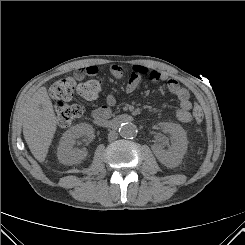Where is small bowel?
<instances>
[{"mask_svg":"<svg viewBox=\"0 0 245 245\" xmlns=\"http://www.w3.org/2000/svg\"><path fill=\"white\" fill-rule=\"evenodd\" d=\"M109 73L116 79H121L125 75V69L117 64H111L108 68ZM99 68L96 65H89L84 68H79L75 71V78L82 80L86 76H94L98 73ZM148 77L152 81L164 82L168 90L177 98L179 107L176 110V117L180 122L189 123L194 120L191 113L192 102L190 100L189 91L182 87L177 80L169 77L165 73L150 69L143 65H133L130 69L129 78L127 80L125 91L127 93L134 92L140 85L142 79ZM117 98L115 94L110 93L106 97V105L94 109L91 116L94 121L98 119H108L111 116V107L116 103Z\"/></svg>","mask_w":245,"mask_h":245,"instance_id":"c3829d8e","label":"small bowel"}]
</instances>
